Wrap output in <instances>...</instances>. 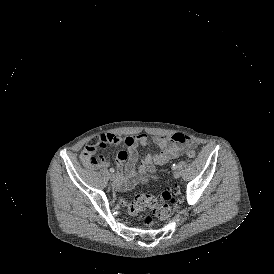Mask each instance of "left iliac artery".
I'll list each match as a JSON object with an SVG mask.
<instances>
[{
	"instance_id": "1",
	"label": "left iliac artery",
	"mask_w": 274,
	"mask_h": 274,
	"mask_svg": "<svg viewBox=\"0 0 274 274\" xmlns=\"http://www.w3.org/2000/svg\"><path fill=\"white\" fill-rule=\"evenodd\" d=\"M177 168V165L176 164H173L172 165V169L175 170Z\"/></svg>"
}]
</instances>
